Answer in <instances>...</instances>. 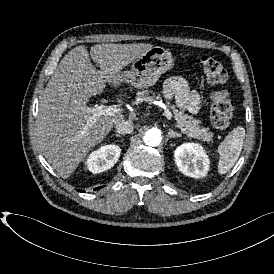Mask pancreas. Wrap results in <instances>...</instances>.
I'll return each instance as SVG.
<instances>
[{"label":"pancreas","instance_id":"1","mask_svg":"<svg viewBox=\"0 0 274 274\" xmlns=\"http://www.w3.org/2000/svg\"><path fill=\"white\" fill-rule=\"evenodd\" d=\"M152 94V95H150ZM155 100V93L148 90L138 91L136 94V103L148 102L152 103ZM173 109L174 119L176 120V127L181 130L190 138L200 139L206 142H211L213 133L209 131V128H203L199 125V120L194 119L192 116L184 114L178 111L175 106H171Z\"/></svg>","mask_w":274,"mask_h":274}]
</instances>
